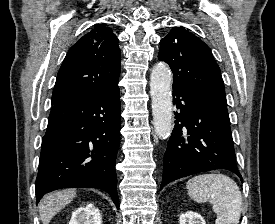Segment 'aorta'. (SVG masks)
Returning a JSON list of instances; mask_svg holds the SVG:
<instances>
[{"mask_svg":"<svg viewBox=\"0 0 275 224\" xmlns=\"http://www.w3.org/2000/svg\"><path fill=\"white\" fill-rule=\"evenodd\" d=\"M171 84L170 68L162 62L156 64L150 76V94L153 125L157 136L161 139L168 138L173 129Z\"/></svg>","mask_w":275,"mask_h":224,"instance_id":"aorta-1","label":"aorta"}]
</instances>
